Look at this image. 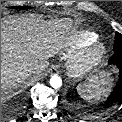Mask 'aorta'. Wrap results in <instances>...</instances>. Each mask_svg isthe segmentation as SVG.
Wrapping results in <instances>:
<instances>
[{
	"instance_id": "aorta-1",
	"label": "aorta",
	"mask_w": 122,
	"mask_h": 122,
	"mask_svg": "<svg viewBox=\"0 0 122 122\" xmlns=\"http://www.w3.org/2000/svg\"><path fill=\"white\" fill-rule=\"evenodd\" d=\"M50 85L54 89H59L62 86V80L59 76L53 75L50 78Z\"/></svg>"
}]
</instances>
